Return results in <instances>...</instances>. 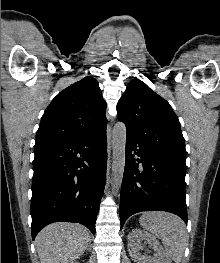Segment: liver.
I'll list each match as a JSON object with an SVG mask.
<instances>
[{
  "mask_svg": "<svg viewBox=\"0 0 220 263\" xmlns=\"http://www.w3.org/2000/svg\"><path fill=\"white\" fill-rule=\"evenodd\" d=\"M89 239L84 226L58 222L42 229L35 244L41 263H68L83 255Z\"/></svg>",
  "mask_w": 220,
  "mask_h": 263,
  "instance_id": "liver-1",
  "label": "liver"
}]
</instances>
